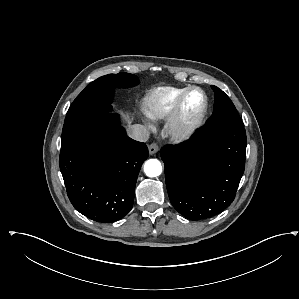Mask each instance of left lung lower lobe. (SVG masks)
<instances>
[{"label": "left lung lower lobe", "instance_id": "0a47b994", "mask_svg": "<svg viewBox=\"0 0 299 299\" xmlns=\"http://www.w3.org/2000/svg\"><path fill=\"white\" fill-rule=\"evenodd\" d=\"M244 126L211 124L190 139L161 149L165 180L174 208L190 220H203L229 206L244 173Z\"/></svg>", "mask_w": 299, "mask_h": 299}]
</instances>
